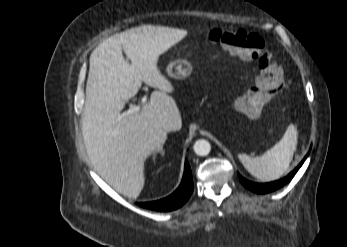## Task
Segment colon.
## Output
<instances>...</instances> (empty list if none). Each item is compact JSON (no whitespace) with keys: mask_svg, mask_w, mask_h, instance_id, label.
Masks as SVG:
<instances>
[{"mask_svg":"<svg viewBox=\"0 0 347 247\" xmlns=\"http://www.w3.org/2000/svg\"><path fill=\"white\" fill-rule=\"evenodd\" d=\"M208 39L243 61L255 64V86L245 88L244 95L237 99V108L246 114L258 115L267 96L278 93L284 87L282 68L273 60L272 53L265 48L264 40L260 35L243 29L219 28L212 29Z\"/></svg>","mask_w":347,"mask_h":247,"instance_id":"colon-1","label":"colon"}]
</instances>
